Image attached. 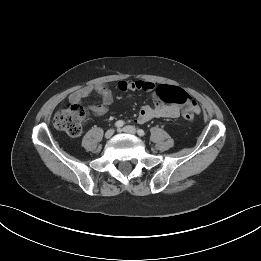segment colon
Masks as SVG:
<instances>
[{"mask_svg":"<svg viewBox=\"0 0 261 261\" xmlns=\"http://www.w3.org/2000/svg\"><path fill=\"white\" fill-rule=\"evenodd\" d=\"M158 97L166 102L181 105L184 109L183 117L186 120L194 118L192 100L188 93L176 86H160L157 88ZM88 113L84 106L80 104H69L66 108L58 110L53 118L55 129L64 131L68 135L76 137L82 131V124Z\"/></svg>","mask_w":261,"mask_h":261,"instance_id":"1","label":"colon"}]
</instances>
